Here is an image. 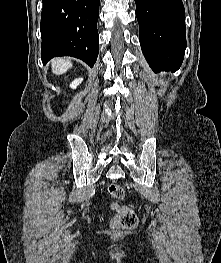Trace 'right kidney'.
I'll return each mask as SVG.
<instances>
[{"label": "right kidney", "instance_id": "1", "mask_svg": "<svg viewBox=\"0 0 221 263\" xmlns=\"http://www.w3.org/2000/svg\"><path fill=\"white\" fill-rule=\"evenodd\" d=\"M82 81H83L82 78H77V79H75V80L70 84V87H71L72 89H76L77 86L82 83Z\"/></svg>", "mask_w": 221, "mask_h": 263}]
</instances>
